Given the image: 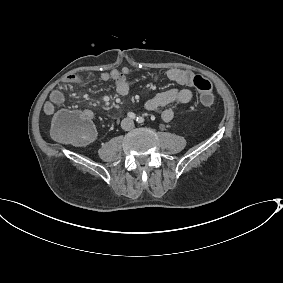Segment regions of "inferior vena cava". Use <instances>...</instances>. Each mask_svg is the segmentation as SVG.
<instances>
[{
    "instance_id": "602c4592",
    "label": "inferior vena cava",
    "mask_w": 283,
    "mask_h": 283,
    "mask_svg": "<svg viewBox=\"0 0 283 283\" xmlns=\"http://www.w3.org/2000/svg\"><path fill=\"white\" fill-rule=\"evenodd\" d=\"M134 127V123L133 121L130 119V118H124L122 121H121V128L123 130H131L132 128Z\"/></svg>"
}]
</instances>
